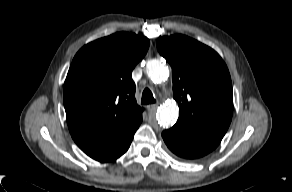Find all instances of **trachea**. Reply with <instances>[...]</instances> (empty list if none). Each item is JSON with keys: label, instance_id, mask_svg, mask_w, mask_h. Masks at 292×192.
<instances>
[{"label": "trachea", "instance_id": "3493384b", "mask_svg": "<svg viewBox=\"0 0 292 192\" xmlns=\"http://www.w3.org/2000/svg\"><path fill=\"white\" fill-rule=\"evenodd\" d=\"M156 100L153 97L152 92L150 91V89L145 88L142 94V99H141V103L142 104H152L155 103Z\"/></svg>", "mask_w": 292, "mask_h": 192}]
</instances>
